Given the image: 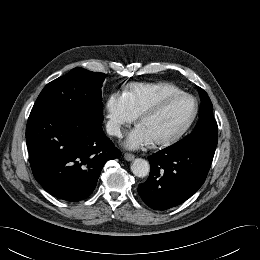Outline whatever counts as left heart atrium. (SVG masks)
<instances>
[{
	"label": "left heart atrium",
	"mask_w": 260,
	"mask_h": 260,
	"mask_svg": "<svg viewBox=\"0 0 260 260\" xmlns=\"http://www.w3.org/2000/svg\"><path fill=\"white\" fill-rule=\"evenodd\" d=\"M152 142H153L152 137L140 124L128 134L124 142V145L129 149H138L147 146Z\"/></svg>",
	"instance_id": "left-heart-atrium-1"
}]
</instances>
